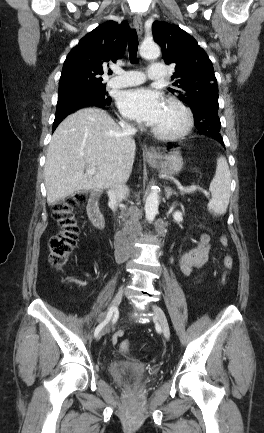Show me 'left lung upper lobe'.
<instances>
[{"label": "left lung upper lobe", "instance_id": "left-lung-upper-lobe-1", "mask_svg": "<svg viewBox=\"0 0 264 433\" xmlns=\"http://www.w3.org/2000/svg\"><path fill=\"white\" fill-rule=\"evenodd\" d=\"M154 40L162 49L166 64L174 63L172 76L176 94L192 111L200 107H219L218 85L212 62L196 40L179 26L156 21L152 25Z\"/></svg>", "mask_w": 264, "mask_h": 433}]
</instances>
